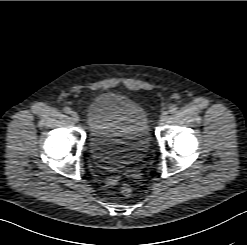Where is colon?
<instances>
[{"mask_svg": "<svg viewBox=\"0 0 247 245\" xmlns=\"http://www.w3.org/2000/svg\"><path fill=\"white\" fill-rule=\"evenodd\" d=\"M121 193H122V195H124L126 197L130 196L132 194V188H131V186L128 185V184H123L121 186Z\"/></svg>", "mask_w": 247, "mask_h": 245, "instance_id": "colon-1", "label": "colon"}]
</instances>
